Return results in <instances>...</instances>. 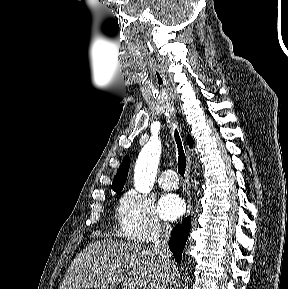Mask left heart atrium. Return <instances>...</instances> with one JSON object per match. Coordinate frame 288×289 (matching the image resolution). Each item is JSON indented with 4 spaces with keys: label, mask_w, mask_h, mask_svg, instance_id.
<instances>
[{
    "label": "left heart atrium",
    "mask_w": 288,
    "mask_h": 289,
    "mask_svg": "<svg viewBox=\"0 0 288 289\" xmlns=\"http://www.w3.org/2000/svg\"><path fill=\"white\" fill-rule=\"evenodd\" d=\"M158 210L163 218L175 220L184 213L185 203L175 194H166L160 199Z\"/></svg>",
    "instance_id": "obj_1"
}]
</instances>
